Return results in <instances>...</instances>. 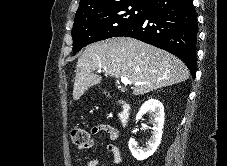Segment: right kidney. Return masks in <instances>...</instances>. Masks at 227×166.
Listing matches in <instances>:
<instances>
[{"mask_svg": "<svg viewBox=\"0 0 227 166\" xmlns=\"http://www.w3.org/2000/svg\"><path fill=\"white\" fill-rule=\"evenodd\" d=\"M150 114L154 117L152 136L148 141L147 147L141 149L138 147L135 139L130 138L128 146L131 154L137 160H144L154 154L160 145L163 127H164V107L162 103L156 99H149L140 108L137 113L136 120H140L144 115ZM135 130H133V133Z\"/></svg>", "mask_w": 227, "mask_h": 166, "instance_id": "obj_1", "label": "right kidney"}]
</instances>
